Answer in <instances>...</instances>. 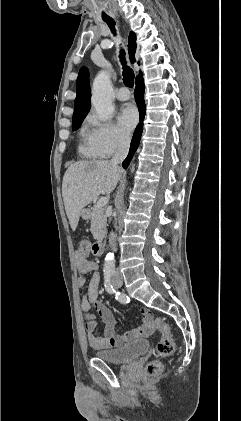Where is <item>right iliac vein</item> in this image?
Here are the masks:
<instances>
[{
	"mask_svg": "<svg viewBox=\"0 0 241 421\" xmlns=\"http://www.w3.org/2000/svg\"><path fill=\"white\" fill-rule=\"evenodd\" d=\"M114 285H115L116 287H119V286H120V283H119V282H116Z\"/></svg>",
	"mask_w": 241,
	"mask_h": 421,
	"instance_id": "63e3f726",
	"label": "right iliac vein"
}]
</instances>
